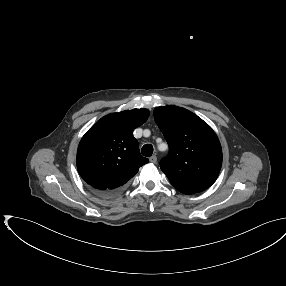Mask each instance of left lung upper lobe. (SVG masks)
<instances>
[{
  "mask_svg": "<svg viewBox=\"0 0 286 286\" xmlns=\"http://www.w3.org/2000/svg\"><path fill=\"white\" fill-rule=\"evenodd\" d=\"M154 118L169 145L160 168L172 186L184 194L209 188L222 166L221 145L212 128L178 106L157 107Z\"/></svg>",
  "mask_w": 286,
  "mask_h": 286,
  "instance_id": "1",
  "label": "left lung upper lobe"
}]
</instances>
